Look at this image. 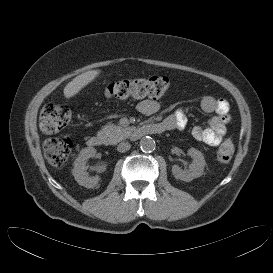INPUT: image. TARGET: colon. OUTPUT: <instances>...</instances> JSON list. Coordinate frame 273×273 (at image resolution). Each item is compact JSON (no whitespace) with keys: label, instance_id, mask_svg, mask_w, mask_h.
<instances>
[{"label":"colon","instance_id":"5ec220e1","mask_svg":"<svg viewBox=\"0 0 273 273\" xmlns=\"http://www.w3.org/2000/svg\"><path fill=\"white\" fill-rule=\"evenodd\" d=\"M169 87V80L163 76L123 79L110 83L106 95L114 99L159 98ZM71 119L70 109L63 104L48 103L40 115V127L48 134L56 133L65 128ZM73 145L68 138H49L44 143L45 156L53 167L63 166L72 153ZM234 155V144L226 139L219 146L217 161L228 164Z\"/></svg>","mask_w":273,"mask_h":273}]
</instances>
